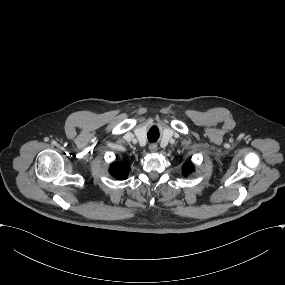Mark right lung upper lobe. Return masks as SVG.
<instances>
[{
  "label": "right lung upper lobe",
  "instance_id": "cb5924a9",
  "mask_svg": "<svg viewBox=\"0 0 285 285\" xmlns=\"http://www.w3.org/2000/svg\"><path fill=\"white\" fill-rule=\"evenodd\" d=\"M110 174L116 179H126L128 176L129 165L126 162H118L111 165Z\"/></svg>",
  "mask_w": 285,
  "mask_h": 285
}]
</instances>
